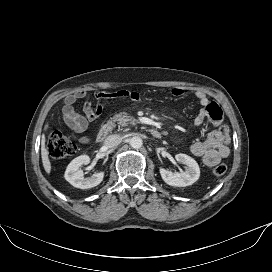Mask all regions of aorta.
Masks as SVG:
<instances>
[{
  "label": "aorta",
  "instance_id": "obj_1",
  "mask_svg": "<svg viewBox=\"0 0 272 272\" xmlns=\"http://www.w3.org/2000/svg\"><path fill=\"white\" fill-rule=\"evenodd\" d=\"M129 144L133 149H139L142 147L143 141L140 137L134 136L130 139Z\"/></svg>",
  "mask_w": 272,
  "mask_h": 272
}]
</instances>
